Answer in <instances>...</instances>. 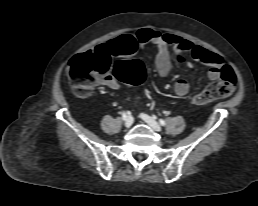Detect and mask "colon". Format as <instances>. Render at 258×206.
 <instances>
[{
	"mask_svg": "<svg viewBox=\"0 0 258 206\" xmlns=\"http://www.w3.org/2000/svg\"><path fill=\"white\" fill-rule=\"evenodd\" d=\"M67 75L73 92L79 97H85L96 83L110 77L127 84H140L144 80L145 71L138 60L118 61L112 66L110 55L105 51L89 50L72 58L67 67ZM236 84L235 72L230 66H224L219 80L195 95L191 102L203 105L229 96L234 92Z\"/></svg>",
	"mask_w": 258,
	"mask_h": 206,
	"instance_id": "1",
	"label": "colon"
}]
</instances>
